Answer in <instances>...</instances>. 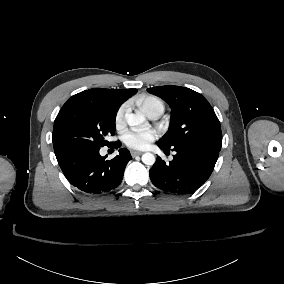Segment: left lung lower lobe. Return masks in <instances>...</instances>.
<instances>
[{
	"label": "left lung lower lobe",
	"mask_w": 284,
	"mask_h": 284,
	"mask_svg": "<svg viewBox=\"0 0 284 284\" xmlns=\"http://www.w3.org/2000/svg\"><path fill=\"white\" fill-rule=\"evenodd\" d=\"M157 144L161 149L173 148L176 154L169 163L157 157L149 170L150 179L160 190L175 194H188L199 188L210 177L219 156L218 151L201 145Z\"/></svg>",
	"instance_id": "obj_1"
}]
</instances>
